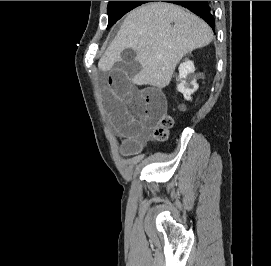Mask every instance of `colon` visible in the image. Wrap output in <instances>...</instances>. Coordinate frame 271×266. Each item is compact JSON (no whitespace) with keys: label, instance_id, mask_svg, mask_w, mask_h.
<instances>
[{"label":"colon","instance_id":"obj_1","mask_svg":"<svg viewBox=\"0 0 271 266\" xmlns=\"http://www.w3.org/2000/svg\"><path fill=\"white\" fill-rule=\"evenodd\" d=\"M173 119L172 117L165 115L163 116L154 131V136L156 139L158 140H165L167 139L169 132L171 130V128L173 127Z\"/></svg>","mask_w":271,"mask_h":266}]
</instances>
